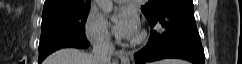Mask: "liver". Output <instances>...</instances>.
<instances>
[{
	"mask_svg": "<svg viewBox=\"0 0 242 64\" xmlns=\"http://www.w3.org/2000/svg\"><path fill=\"white\" fill-rule=\"evenodd\" d=\"M43 64H96L94 56L77 49H61L47 57Z\"/></svg>",
	"mask_w": 242,
	"mask_h": 64,
	"instance_id": "1",
	"label": "liver"
}]
</instances>
